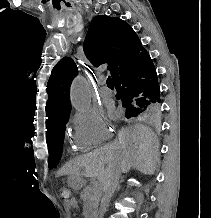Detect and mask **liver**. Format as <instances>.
<instances>
[{
    "mask_svg": "<svg viewBox=\"0 0 211 218\" xmlns=\"http://www.w3.org/2000/svg\"><path fill=\"white\" fill-rule=\"evenodd\" d=\"M159 144L155 136L145 126L122 128L116 140L102 150L92 154H83L78 158L79 168H84L85 176L104 182L106 176L120 170L127 174L129 170H139L142 174H153L158 162ZM105 164H107L105 168ZM65 170V174H68Z\"/></svg>",
    "mask_w": 211,
    "mask_h": 218,
    "instance_id": "1",
    "label": "liver"
}]
</instances>
